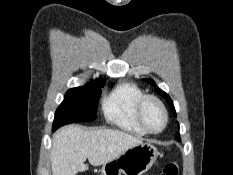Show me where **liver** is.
<instances>
[{"label": "liver", "instance_id": "liver-1", "mask_svg": "<svg viewBox=\"0 0 233 175\" xmlns=\"http://www.w3.org/2000/svg\"><path fill=\"white\" fill-rule=\"evenodd\" d=\"M52 141V175H76L88 170L84 164L86 159L91 165L100 166L142 143L143 139L119 130L68 125L57 130Z\"/></svg>", "mask_w": 233, "mask_h": 175}]
</instances>
